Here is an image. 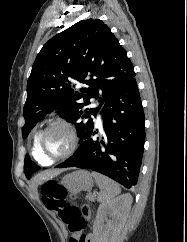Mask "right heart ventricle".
Returning <instances> with one entry per match:
<instances>
[{"label": "right heart ventricle", "mask_w": 187, "mask_h": 242, "mask_svg": "<svg viewBox=\"0 0 187 242\" xmlns=\"http://www.w3.org/2000/svg\"><path fill=\"white\" fill-rule=\"evenodd\" d=\"M41 131H39L35 137H34V141H33V147H32V154L34 156V158L38 161V163H40L41 165H49L51 164L50 161H48L39 151L38 148V139H39V135H40Z\"/></svg>", "instance_id": "e07e8e85"}]
</instances>
